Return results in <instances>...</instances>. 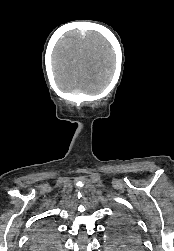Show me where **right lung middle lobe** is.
<instances>
[{
  "mask_svg": "<svg viewBox=\"0 0 174 251\" xmlns=\"http://www.w3.org/2000/svg\"><path fill=\"white\" fill-rule=\"evenodd\" d=\"M34 250L53 251L58 247V243L52 238V229L49 227L36 230L32 243Z\"/></svg>",
  "mask_w": 174,
  "mask_h": 251,
  "instance_id": "right-lung-middle-lobe-1",
  "label": "right lung middle lobe"
}]
</instances>
